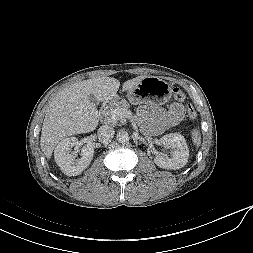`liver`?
Here are the masks:
<instances>
[{
  "instance_id": "6515ba94",
  "label": "liver",
  "mask_w": 253,
  "mask_h": 253,
  "mask_svg": "<svg viewBox=\"0 0 253 253\" xmlns=\"http://www.w3.org/2000/svg\"><path fill=\"white\" fill-rule=\"evenodd\" d=\"M146 76H138L123 83L122 90L136 87ZM119 80L98 77L69 85L53 98L44 118L40 145L50 159L57 143L64 137L91 132L98 125V110L90 100L94 95L98 102L116 97Z\"/></svg>"
}]
</instances>
